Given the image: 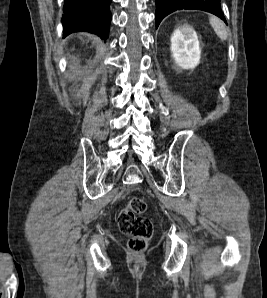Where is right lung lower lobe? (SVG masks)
<instances>
[{
    "mask_svg": "<svg viewBox=\"0 0 267 298\" xmlns=\"http://www.w3.org/2000/svg\"><path fill=\"white\" fill-rule=\"evenodd\" d=\"M111 0H65L63 15L64 37L86 31L106 40L109 35Z\"/></svg>",
    "mask_w": 267,
    "mask_h": 298,
    "instance_id": "98d812e1",
    "label": "right lung lower lobe"
}]
</instances>
